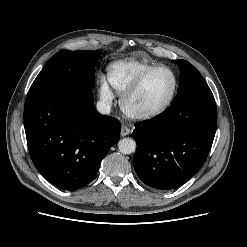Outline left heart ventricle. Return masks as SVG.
Wrapping results in <instances>:
<instances>
[{"instance_id": "obj_1", "label": "left heart ventricle", "mask_w": 247, "mask_h": 247, "mask_svg": "<svg viewBox=\"0 0 247 247\" xmlns=\"http://www.w3.org/2000/svg\"><path fill=\"white\" fill-rule=\"evenodd\" d=\"M173 89V78L165 70L150 74L130 101L135 110H150L162 105Z\"/></svg>"}]
</instances>
